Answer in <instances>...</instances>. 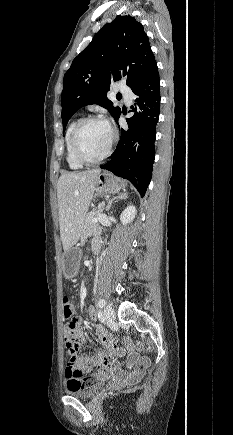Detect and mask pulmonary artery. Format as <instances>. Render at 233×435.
Segmentation results:
<instances>
[{
  "label": "pulmonary artery",
  "mask_w": 233,
  "mask_h": 435,
  "mask_svg": "<svg viewBox=\"0 0 233 435\" xmlns=\"http://www.w3.org/2000/svg\"><path fill=\"white\" fill-rule=\"evenodd\" d=\"M117 91L120 93V95L125 99L127 103L131 102L133 98V94L127 86H118Z\"/></svg>",
  "instance_id": "1"
}]
</instances>
